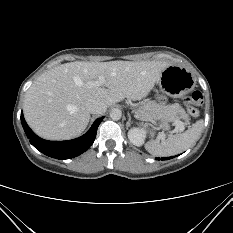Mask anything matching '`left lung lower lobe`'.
Here are the masks:
<instances>
[{
    "label": "left lung lower lobe",
    "instance_id": "1",
    "mask_svg": "<svg viewBox=\"0 0 233 233\" xmlns=\"http://www.w3.org/2000/svg\"><path fill=\"white\" fill-rule=\"evenodd\" d=\"M173 157H167V158H161V160H167V159H171ZM158 160H160V158H157Z\"/></svg>",
    "mask_w": 233,
    "mask_h": 233
}]
</instances>
